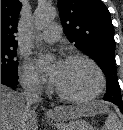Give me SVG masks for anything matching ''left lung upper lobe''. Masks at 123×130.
I'll use <instances>...</instances> for the list:
<instances>
[{"mask_svg": "<svg viewBox=\"0 0 123 130\" xmlns=\"http://www.w3.org/2000/svg\"><path fill=\"white\" fill-rule=\"evenodd\" d=\"M64 31L70 42L90 56L106 76L104 100L123 108L115 69L114 27L101 0H58Z\"/></svg>", "mask_w": 123, "mask_h": 130, "instance_id": "1", "label": "left lung upper lobe"}]
</instances>
